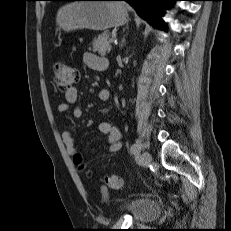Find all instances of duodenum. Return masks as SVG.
Here are the masks:
<instances>
[{
    "instance_id": "410a0bca",
    "label": "duodenum",
    "mask_w": 231,
    "mask_h": 231,
    "mask_svg": "<svg viewBox=\"0 0 231 231\" xmlns=\"http://www.w3.org/2000/svg\"><path fill=\"white\" fill-rule=\"evenodd\" d=\"M107 66H108V64H104V65L100 66L99 70L104 71L107 69Z\"/></svg>"
}]
</instances>
